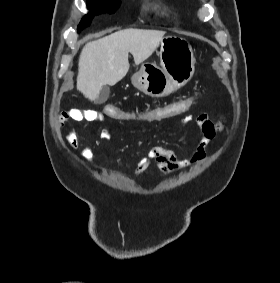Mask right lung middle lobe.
Here are the masks:
<instances>
[{"instance_id":"right-lung-middle-lobe-1","label":"right lung middle lobe","mask_w":280,"mask_h":283,"mask_svg":"<svg viewBox=\"0 0 280 283\" xmlns=\"http://www.w3.org/2000/svg\"><path fill=\"white\" fill-rule=\"evenodd\" d=\"M120 5V0H87V6L90 13L85 15L78 26V32L89 26L92 20V15L108 12L114 13Z\"/></svg>"}]
</instances>
